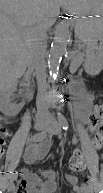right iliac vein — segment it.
I'll list each match as a JSON object with an SVG mask.
<instances>
[{
    "mask_svg": "<svg viewBox=\"0 0 103 193\" xmlns=\"http://www.w3.org/2000/svg\"><path fill=\"white\" fill-rule=\"evenodd\" d=\"M35 129L37 130V131H41V130H43L45 127H46V122H44V121H37L36 123H35ZM12 188V185L11 184H9L8 185V190H10Z\"/></svg>",
    "mask_w": 103,
    "mask_h": 193,
    "instance_id": "obj_1",
    "label": "right iliac vein"
}]
</instances>
